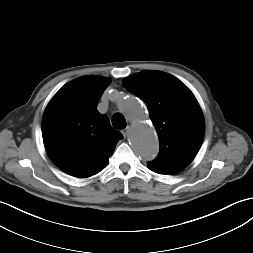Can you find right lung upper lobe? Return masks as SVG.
Wrapping results in <instances>:
<instances>
[{
    "instance_id": "obj_1",
    "label": "right lung upper lobe",
    "mask_w": 253,
    "mask_h": 253,
    "mask_svg": "<svg viewBox=\"0 0 253 253\" xmlns=\"http://www.w3.org/2000/svg\"><path fill=\"white\" fill-rule=\"evenodd\" d=\"M111 79L82 76L64 85L42 119V136L52 162L69 175L86 178L107 164L123 135L113 129L98 101Z\"/></svg>"
}]
</instances>
